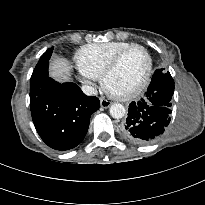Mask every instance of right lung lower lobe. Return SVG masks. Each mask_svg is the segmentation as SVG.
<instances>
[{
  "label": "right lung lower lobe",
  "mask_w": 205,
  "mask_h": 205,
  "mask_svg": "<svg viewBox=\"0 0 205 205\" xmlns=\"http://www.w3.org/2000/svg\"><path fill=\"white\" fill-rule=\"evenodd\" d=\"M53 47L38 61L30 79V107L42 140L56 150H69L84 139L90 116L100 108L95 96H86L74 83L60 84L48 77Z\"/></svg>",
  "instance_id": "98d812e1"
}]
</instances>
